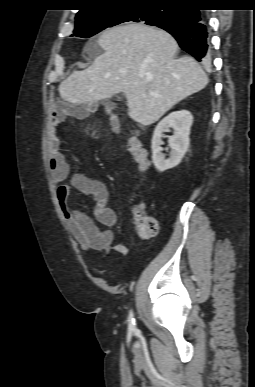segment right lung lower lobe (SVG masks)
Returning a JSON list of instances; mask_svg holds the SVG:
<instances>
[{"label": "right lung lower lobe", "instance_id": "obj_1", "mask_svg": "<svg viewBox=\"0 0 255 387\" xmlns=\"http://www.w3.org/2000/svg\"><path fill=\"white\" fill-rule=\"evenodd\" d=\"M178 20L159 28L169 32L181 49L191 54L197 61L207 64L211 59L208 24L202 10L190 6L177 8Z\"/></svg>", "mask_w": 255, "mask_h": 387}]
</instances>
